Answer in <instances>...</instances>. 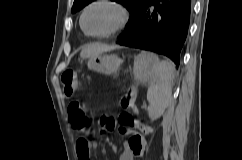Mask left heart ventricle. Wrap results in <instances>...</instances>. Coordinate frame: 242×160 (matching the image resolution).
Returning <instances> with one entry per match:
<instances>
[{
  "label": "left heart ventricle",
  "instance_id": "left-heart-ventricle-1",
  "mask_svg": "<svg viewBox=\"0 0 242 160\" xmlns=\"http://www.w3.org/2000/svg\"><path fill=\"white\" fill-rule=\"evenodd\" d=\"M119 21L120 13L115 7L100 4L87 11L84 24L90 33L101 34L115 27Z\"/></svg>",
  "mask_w": 242,
  "mask_h": 160
}]
</instances>
